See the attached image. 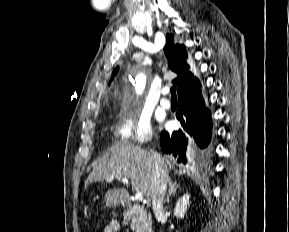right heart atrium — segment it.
<instances>
[{
  "label": "right heart atrium",
  "instance_id": "d8ad5b80",
  "mask_svg": "<svg viewBox=\"0 0 289 232\" xmlns=\"http://www.w3.org/2000/svg\"><path fill=\"white\" fill-rule=\"evenodd\" d=\"M115 137L125 144L144 145L153 138L150 119L145 116H122L114 129Z\"/></svg>",
  "mask_w": 289,
  "mask_h": 232
}]
</instances>
